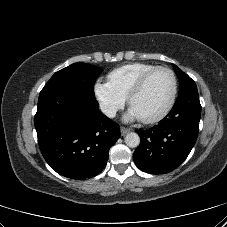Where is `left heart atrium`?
I'll return each instance as SVG.
<instances>
[{
  "label": "left heart atrium",
  "instance_id": "39dd6f15",
  "mask_svg": "<svg viewBox=\"0 0 227 227\" xmlns=\"http://www.w3.org/2000/svg\"><path fill=\"white\" fill-rule=\"evenodd\" d=\"M126 118L128 120L140 119L139 116L136 114V112L132 108H130Z\"/></svg>",
  "mask_w": 227,
  "mask_h": 227
}]
</instances>
